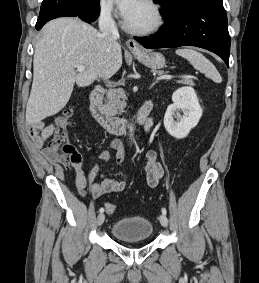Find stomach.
<instances>
[{
  "label": "stomach",
  "mask_w": 259,
  "mask_h": 283,
  "mask_svg": "<svg viewBox=\"0 0 259 283\" xmlns=\"http://www.w3.org/2000/svg\"><path fill=\"white\" fill-rule=\"evenodd\" d=\"M134 56L145 66L152 69H160L165 65V58L159 52L154 51H141L132 52Z\"/></svg>",
  "instance_id": "0dacf381"
}]
</instances>
